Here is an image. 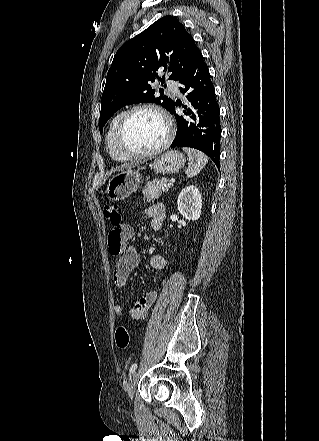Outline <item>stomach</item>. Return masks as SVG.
Masks as SVG:
<instances>
[{"label":"stomach","mask_w":319,"mask_h":441,"mask_svg":"<svg viewBox=\"0 0 319 441\" xmlns=\"http://www.w3.org/2000/svg\"><path fill=\"white\" fill-rule=\"evenodd\" d=\"M186 158L177 150H170L162 154L150 164L156 173L172 174L179 171L185 164ZM140 167L129 168L113 175L107 184L106 193L109 199L118 201L128 198L139 187L141 175Z\"/></svg>","instance_id":"1"}]
</instances>
